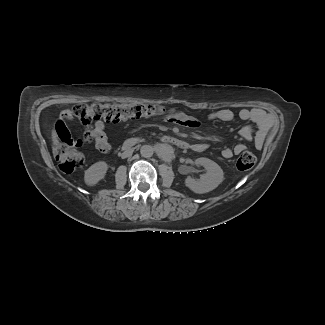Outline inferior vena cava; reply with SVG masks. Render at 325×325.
Here are the masks:
<instances>
[{
	"mask_svg": "<svg viewBox=\"0 0 325 325\" xmlns=\"http://www.w3.org/2000/svg\"><path fill=\"white\" fill-rule=\"evenodd\" d=\"M132 153H133L132 150H127V151H125V152L122 153V158L129 157V156L132 155Z\"/></svg>",
	"mask_w": 325,
	"mask_h": 325,
	"instance_id": "1",
	"label": "inferior vena cava"
}]
</instances>
